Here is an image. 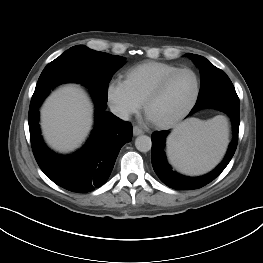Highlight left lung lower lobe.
I'll return each instance as SVG.
<instances>
[{
    "instance_id": "left-lung-lower-lobe-1",
    "label": "left lung lower lobe",
    "mask_w": 263,
    "mask_h": 263,
    "mask_svg": "<svg viewBox=\"0 0 263 263\" xmlns=\"http://www.w3.org/2000/svg\"><path fill=\"white\" fill-rule=\"evenodd\" d=\"M216 108L221 110L231 118L233 125V140L224 160L210 173L200 177H186L173 171L166 161L164 153L165 139L169 131H156L152 134V165L159 179L167 186L178 190L198 189L213 181L230 162L233 157L239 131V98L234 91H221L209 94L208 96L198 99L189 115L203 108Z\"/></svg>"
}]
</instances>
